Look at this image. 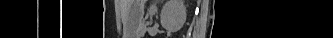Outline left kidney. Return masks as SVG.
<instances>
[{
    "label": "left kidney",
    "instance_id": "left-kidney-1",
    "mask_svg": "<svg viewBox=\"0 0 333 38\" xmlns=\"http://www.w3.org/2000/svg\"><path fill=\"white\" fill-rule=\"evenodd\" d=\"M186 21V7L183 0H168L160 14V23L169 32H176Z\"/></svg>",
    "mask_w": 333,
    "mask_h": 38
}]
</instances>
